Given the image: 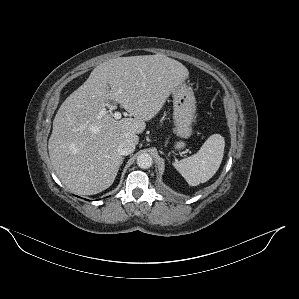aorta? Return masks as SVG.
I'll use <instances>...</instances> for the list:
<instances>
[{"instance_id":"1","label":"aorta","mask_w":299,"mask_h":299,"mask_svg":"<svg viewBox=\"0 0 299 299\" xmlns=\"http://www.w3.org/2000/svg\"><path fill=\"white\" fill-rule=\"evenodd\" d=\"M152 163V157L148 153H142L137 157V165L142 169L150 168Z\"/></svg>"}]
</instances>
